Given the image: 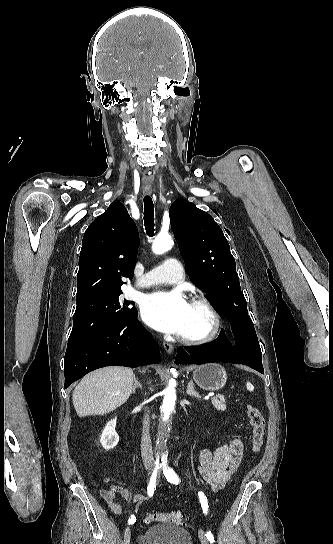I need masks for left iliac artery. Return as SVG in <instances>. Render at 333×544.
Here are the masks:
<instances>
[{"instance_id":"left-iliac-artery-1","label":"left iliac artery","mask_w":333,"mask_h":544,"mask_svg":"<svg viewBox=\"0 0 333 544\" xmlns=\"http://www.w3.org/2000/svg\"><path fill=\"white\" fill-rule=\"evenodd\" d=\"M162 468H163V474H164L166 480L168 482L172 483V484L178 485L180 480H179L177 474L175 473V471L172 468H170L165 462L162 464ZM198 496H199V499H200L201 507L203 509V513L207 514L208 507H209L207 497L205 496V494L203 492H199ZM205 535H206L207 539L210 541V543L214 542L213 534L210 531H207Z\"/></svg>"}]
</instances>
